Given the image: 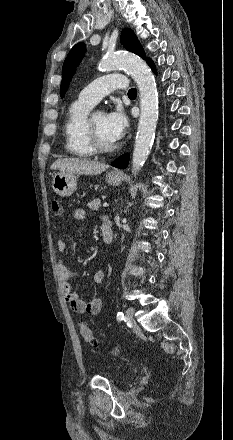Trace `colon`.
I'll use <instances>...</instances> for the list:
<instances>
[{"label":"colon","mask_w":233,"mask_h":440,"mask_svg":"<svg viewBox=\"0 0 233 440\" xmlns=\"http://www.w3.org/2000/svg\"><path fill=\"white\" fill-rule=\"evenodd\" d=\"M52 211L56 216H60L63 213V208L61 203L58 200H53L51 203ZM78 326L80 329L81 336L83 337L84 341L87 345L91 347H98L99 343L95 339L92 331L90 330L89 326L84 320H80L78 322ZM120 353L119 349H115L113 351V355L118 356Z\"/></svg>","instance_id":"obj_1"}]
</instances>
